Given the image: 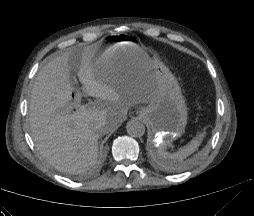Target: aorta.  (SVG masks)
<instances>
[{"label": "aorta", "instance_id": "1", "mask_svg": "<svg viewBox=\"0 0 254 216\" xmlns=\"http://www.w3.org/2000/svg\"><path fill=\"white\" fill-rule=\"evenodd\" d=\"M126 130L131 137L138 138L144 135L145 126L141 121L132 119L127 123Z\"/></svg>", "mask_w": 254, "mask_h": 216}]
</instances>
